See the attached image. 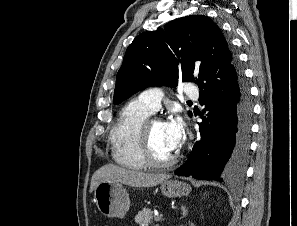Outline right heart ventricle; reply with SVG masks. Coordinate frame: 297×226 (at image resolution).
Listing matches in <instances>:
<instances>
[{
  "label": "right heart ventricle",
  "instance_id": "right-heart-ventricle-1",
  "mask_svg": "<svg viewBox=\"0 0 297 226\" xmlns=\"http://www.w3.org/2000/svg\"><path fill=\"white\" fill-rule=\"evenodd\" d=\"M152 112L139 99L128 102L121 110L110 132L111 154L114 161L129 169L146 167L138 140L142 123Z\"/></svg>",
  "mask_w": 297,
  "mask_h": 226
}]
</instances>
